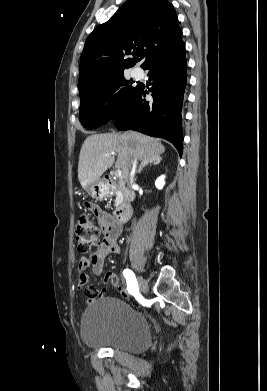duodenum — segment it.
<instances>
[{
    "label": "duodenum",
    "instance_id": "obj_1",
    "mask_svg": "<svg viewBox=\"0 0 267 391\" xmlns=\"http://www.w3.org/2000/svg\"><path fill=\"white\" fill-rule=\"evenodd\" d=\"M128 198L131 197V194L127 192ZM132 215V207L129 201L125 202L120 206L114 213V225L120 226L124 222L128 221Z\"/></svg>",
    "mask_w": 267,
    "mask_h": 391
}]
</instances>
